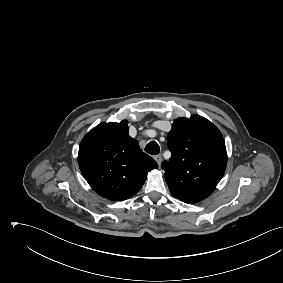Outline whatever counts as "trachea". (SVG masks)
I'll return each instance as SVG.
<instances>
[{"label": "trachea", "instance_id": "3493384b", "mask_svg": "<svg viewBox=\"0 0 283 283\" xmlns=\"http://www.w3.org/2000/svg\"><path fill=\"white\" fill-rule=\"evenodd\" d=\"M145 151H146L148 154L157 155V154H159V152H160V148H159V145L157 144V142H155V141H150V142L146 145Z\"/></svg>", "mask_w": 283, "mask_h": 283}]
</instances>
